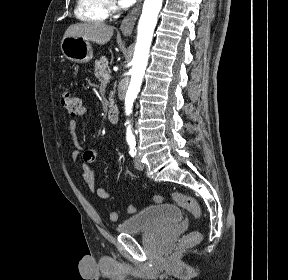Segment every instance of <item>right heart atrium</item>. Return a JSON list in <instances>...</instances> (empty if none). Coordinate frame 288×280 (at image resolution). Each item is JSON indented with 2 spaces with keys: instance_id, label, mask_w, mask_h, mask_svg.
I'll use <instances>...</instances> for the list:
<instances>
[{
  "instance_id": "obj_1",
  "label": "right heart atrium",
  "mask_w": 288,
  "mask_h": 280,
  "mask_svg": "<svg viewBox=\"0 0 288 280\" xmlns=\"http://www.w3.org/2000/svg\"><path fill=\"white\" fill-rule=\"evenodd\" d=\"M107 7L109 12H113L116 9L114 0H107Z\"/></svg>"
}]
</instances>
